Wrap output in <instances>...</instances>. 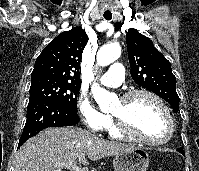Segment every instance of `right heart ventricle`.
Returning <instances> with one entry per match:
<instances>
[{
    "label": "right heart ventricle",
    "mask_w": 199,
    "mask_h": 171,
    "mask_svg": "<svg viewBox=\"0 0 199 171\" xmlns=\"http://www.w3.org/2000/svg\"><path fill=\"white\" fill-rule=\"evenodd\" d=\"M106 131L109 134L110 137L115 138V139H120L123 138L124 136L118 132L116 129L113 120L109 117L108 123L106 126Z\"/></svg>",
    "instance_id": "e07e8e85"
}]
</instances>
